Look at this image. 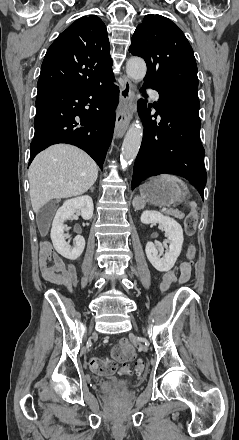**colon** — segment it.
I'll list each match as a JSON object with an SVG mask.
<instances>
[{
	"instance_id": "colon-1",
	"label": "colon",
	"mask_w": 239,
	"mask_h": 440,
	"mask_svg": "<svg viewBox=\"0 0 239 440\" xmlns=\"http://www.w3.org/2000/svg\"><path fill=\"white\" fill-rule=\"evenodd\" d=\"M196 225L197 215L192 212L185 219V232L188 236H192L195 233ZM195 253V246H189L187 249L188 260H193ZM175 279V272H167L164 275L160 285L161 292L166 293ZM134 355L135 350L133 346L127 340L122 339L121 341H119L115 349L114 360H102L95 358L90 361V368L93 372L100 375H112L115 373L127 374L130 372V370L124 363L133 359ZM134 368L136 373H141L144 369L143 361L137 360L135 362Z\"/></svg>"
}]
</instances>
